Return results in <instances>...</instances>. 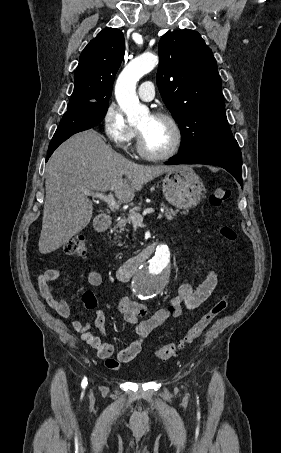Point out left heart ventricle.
Wrapping results in <instances>:
<instances>
[{
    "label": "left heart ventricle",
    "mask_w": 281,
    "mask_h": 453,
    "mask_svg": "<svg viewBox=\"0 0 281 453\" xmlns=\"http://www.w3.org/2000/svg\"><path fill=\"white\" fill-rule=\"evenodd\" d=\"M137 127L143 135L146 149L150 152L165 153L171 147L174 136L167 123L148 114L142 118Z\"/></svg>",
    "instance_id": "obj_1"
}]
</instances>
